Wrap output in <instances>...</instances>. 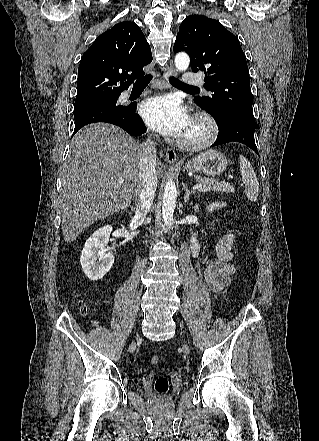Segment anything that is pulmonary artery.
<instances>
[{
  "label": "pulmonary artery",
  "instance_id": "e3ab8cb5",
  "mask_svg": "<svg viewBox=\"0 0 319 441\" xmlns=\"http://www.w3.org/2000/svg\"><path fill=\"white\" fill-rule=\"evenodd\" d=\"M183 82L189 86H202L203 78L199 74L186 73L183 77Z\"/></svg>",
  "mask_w": 319,
  "mask_h": 441
}]
</instances>
